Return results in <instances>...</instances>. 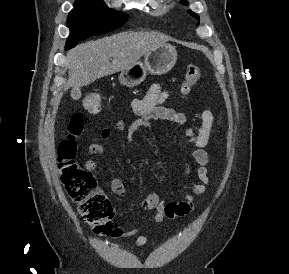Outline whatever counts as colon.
<instances>
[{"label": "colon", "instance_id": "colon-1", "mask_svg": "<svg viewBox=\"0 0 289 274\" xmlns=\"http://www.w3.org/2000/svg\"><path fill=\"white\" fill-rule=\"evenodd\" d=\"M200 69L190 64L186 67L181 92L188 94L200 79ZM82 108L91 114L101 109L99 93L86 94L81 101ZM84 121L81 115H74L68 126V135L58 145V162L61 181L69 197L78 205V210L84 221L90 225L96 234H110L113 231V207L98 186L91 172L85 170L76 160V139L82 133Z\"/></svg>", "mask_w": 289, "mask_h": 274}]
</instances>
